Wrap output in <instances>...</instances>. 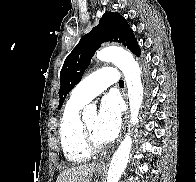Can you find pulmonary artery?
<instances>
[{"mask_svg":"<svg viewBox=\"0 0 196 182\" xmlns=\"http://www.w3.org/2000/svg\"><path fill=\"white\" fill-rule=\"evenodd\" d=\"M119 80L118 73L113 67H102L81 81L72 91V97L87 103Z\"/></svg>","mask_w":196,"mask_h":182,"instance_id":"obj_1","label":"pulmonary artery"}]
</instances>
